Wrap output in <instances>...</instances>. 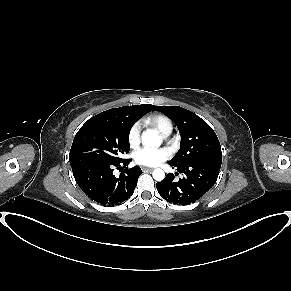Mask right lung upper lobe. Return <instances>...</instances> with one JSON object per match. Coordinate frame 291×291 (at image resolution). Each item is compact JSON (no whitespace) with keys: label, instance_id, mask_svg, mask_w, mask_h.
<instances>
[{"label":"right lung upper lobe","instance_id":"1","mask_svg":"<svg viewBox=\"0 0 291 291\" xmlns=\"http://www.w3.org/2000/svg\"><path fill=\"white\" fill-rule=\"evenodd\" d=\"M156 106L150 104H142V105H133V106H124L120 108H114L102 113H114V112H122L127 114L129 117L135 119L136 121L141 118L143 115L148 113L151 110H154ZM135 121V122H136Z\"/></svg>","mask_w":291,"mask_h":291}]
</instances>
